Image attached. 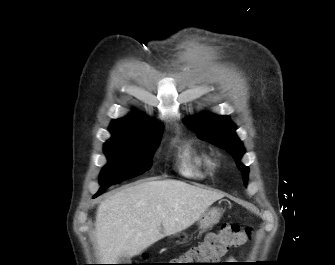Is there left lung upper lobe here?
I'll list each match as a JSON object with an SVG mask.
<instances>
[{
    "label": "left lung upper lobe",
    "instance_id": "obj_1",
    "mask_svg": "<svg viewBox=\"0 0 335 265\" xmlns=\"http://www.w3.org/2000/svg\"><path fill=\"white\" fill-rule=\"evenodd\" d=\"M184 124L194 130L202 139L215 143L232 154L236 165L241 171L244 184H247L249 169L240 162L245 153L242 142L237 138L234 131L236 126L227 116H217L204 113L199 116L186 118Z\"/></svg>",
    "mask_w": 335,
    "mask_h": 265
}]
</instances>
